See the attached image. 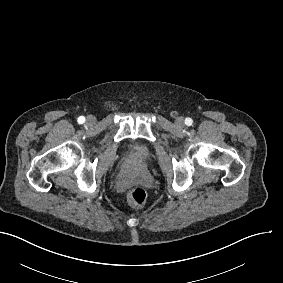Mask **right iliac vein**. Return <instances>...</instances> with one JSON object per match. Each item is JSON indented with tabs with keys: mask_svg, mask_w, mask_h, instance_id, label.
Instances as JSON below:
<instances>
[{
	"mask_svg": "<svg viewBox=\"0 0 283 283\" xmlns=\"http://www.w3.org/2000/svg\"><path fill=\"white\" fill-rule=\"evenodd\" d=\"M95 117H93V116H89L88 118H87V120H86V123L87 124H89V125H92V124H94L95 123Z\"/></svg>",
	"mask_w": 283,
	"mask_h": 283,
	"instance_id": "1",
	"label": "right iliac vein"
}]
</instances>
